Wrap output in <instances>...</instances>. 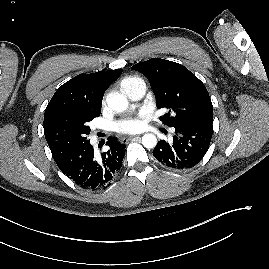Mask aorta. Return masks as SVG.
<instances>
[{
	"instance_id": "1",
	"label": "aorta",
	"mask_w": 269,
	"mask_h": 269,
	"mask_svg": "<svg viewBox=\"0 0 269 269\" xmlns=\"http://www.w3.org/2000/svg\"><path fill=\"white\" fill-rule=\"evenodd\" d=\"M107 104L112 110L122 112L127 109L128 100L121 94H112L107 99ZM142 144L145 148L152 149L157 145V138L152 133H146L142 137Z\"/></svg>"
}]
</instances>
